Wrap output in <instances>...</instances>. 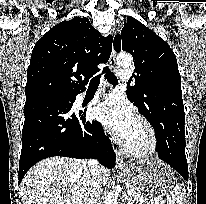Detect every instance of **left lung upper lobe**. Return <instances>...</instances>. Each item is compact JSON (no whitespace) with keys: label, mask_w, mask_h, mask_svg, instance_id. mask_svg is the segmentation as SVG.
<instances>
[{"label":"left lung upper lobe","mask_w":206,"mask_h":204,"mask_svg":"<svg viewBox=\"0 0 206 204\" xmlns=\"http://www.w3.org/2000/svg\"><path fill=\"white\" fill-rule=\"evenodd\" d=\"M114 49L133 56L135 85H127L128 99L152 124L156 134L163 132L167 118L184 112L175 54L162 38L131 16L121 34L115 36Z\"/></svg>","instance_id":"left-lung-upper-lobe-1"}]
</instances>
